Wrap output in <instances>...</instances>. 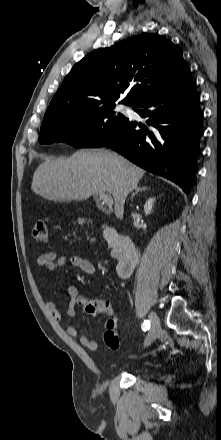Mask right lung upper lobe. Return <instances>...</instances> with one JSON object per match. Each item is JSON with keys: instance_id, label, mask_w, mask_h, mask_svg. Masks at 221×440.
<instances>
[{"instance_id": "obj_1", "label": "right lung upper lobe", "mask_w": 221, "mask_h": 440, "mask_svg": "<svg viewBox=\"0 0 221 440\" xmlns=\"http://www.w3.org/2000/svg\"><path fill=\"white\" fill-rule=\"evenodd\" d=\"M189 79L185 61L170 40L154 33L137 35L94 50L76 63L47 111L115 103L130 87L121 103L134 106Z\"/></svg>"}]
</instances>
